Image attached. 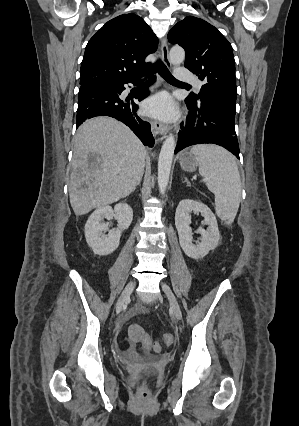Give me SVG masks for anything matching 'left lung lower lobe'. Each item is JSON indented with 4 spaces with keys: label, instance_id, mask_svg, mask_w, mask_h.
<instances>
[{
    "label": "left lung lower lobe",
    "instance_id": "1",
    "mask_svg": "<svg viewBox=\"0 0 299 426\" xmlns=\"http://www.w3.org/2000/svg\"><path fill=\"white\" fill-rule=\"evenodd\" d=\"M185 102L190 112L186 126L178 134L175 154L191 145L212 143L226 148L239 158L235 134L236 109L212 99L194 102L187 97Z\"/></svg>",
    "mask_w": 299,
    "mask_h": 426
}]
</instances>
